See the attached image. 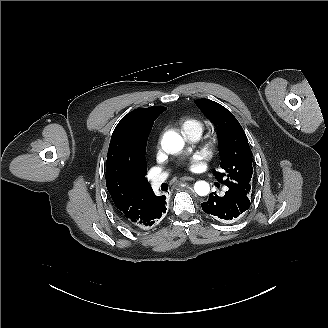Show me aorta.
Returning <instances> with one entry per match:
<instances>
[{"label": "aorta", "mask_w": 328, "mask_h": 328, "mask_svg": "<svg viewBox=\"0 0 328 328\" xmlns=\"http://www.w3.org/2000/svg\"><path fill=\"white\" fill-rule=\"evenodd\" d=\"M162 145L169 153H175L182 150L184 140L179 134L168 132L162 139ZM194 190L199 196H206L210 192V186L205 181H197L194 185Z\"/></svg>", "instance_id": "aorta-1"}]
</instances>
